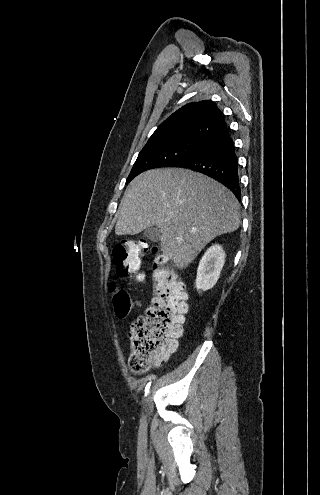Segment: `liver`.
I'll use <instances>...</instances> for the list:
<instances>
[{"instance_id":"1","label":"liver","mask_w":320,"mask_h":495,"mask_svg":"<svg viewBox=\"0 0 320 495\" xmlns=\"http://www.w3.org/2000/svg\"><path fill=\"white\" fill-rule=\"evenodd\" d=\"M153 225L160 228L162 252L185 268L212 239L239 228V203L229 189L203 174L149 170L128 186L115 233L135 235Z\"/></svg>"}]
</instances>
